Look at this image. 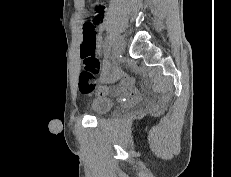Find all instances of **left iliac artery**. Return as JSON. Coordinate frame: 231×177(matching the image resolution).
<instances>
[{
    "label": "left iliac artery",
    "instance_id": "obj_1",
    "mask_svg": "<svg viewBox=\"0 0 231 177\" xmlns=\"http://www.w3.org/2000/svg\"><path fill=\"white\" fill-rule=\"evenodd\" d=\"M112 46L113 41H106V46L104 48V59L110 60L112 56Z\"/></svg>",
    "mask_w": 231,
    "mask_h": 177
}]
</instances>
